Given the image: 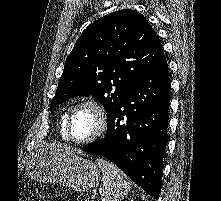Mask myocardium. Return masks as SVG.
I'll return each instance as SVG.
<instances>
[{"mask_svg":"<svg viewBox=\"0 0 221 201\" xmlns=\"http://www.w3.org/2000/svg\"><path fill=\"white\" fill-rule=\"evenodd\" d=\"M82 108H89L93 110V112L97 116L98 127H97L96 132L92 136L86 139L79 140V139H75L71 134V121H72L74 114L79 109H82ZM107 121H108L107 113L104 107L97 100L92 99V98L84 99L78 102L77 104H75L67 113L66 123H65V131H66L67 138L70 142L78 144V145H85V144L92 143L96 141L97 139H99L104 134L107 128Z\"/></svg>","mask_w":221,"mask_h":201,"instance_id":"obj_1","label":"myocardium"}]
</instances>
